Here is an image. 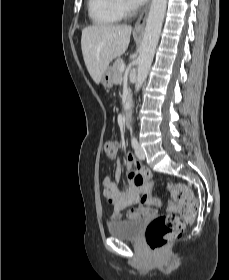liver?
<instances>
[{
  "label": "liver",
  "mask_w": 229,
  "mask_h": 280,
  "mask_svg": "<svg viewBox=\"0 0 229 280\" xmlns=\"http://www.w3.org/2000/svg\"><path fill=\"white\" fill-rule=\"evenodd\" d=\"M132 27L129 25L99 24L82 31L81 49L86 68L99 84L110 62L128 48Z\"/></svg>",
  "instance_id": "liver-1"
}]
</instances>
